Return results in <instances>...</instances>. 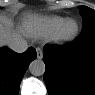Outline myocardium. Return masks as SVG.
I'll use <instances>...</instances> for the list:
<instances>
[{"instance_id":"1","label":"myocardium","mask_w":95,"mask_h":95,"mask_svg":"<svg viewBox=\"0 0 95 95\" xmlns=\"http://www.w3.org/2000/svg\"><path fill=\"white\" fill-rule=\"evenodd\" d=\"M74 22L76 29L72 34H66L68 24ZM80 33V23L75 18H67L63 21L60 27L50 36L51 41L56 44H68L73 42Z\"/></svg>"}]
</instances>
